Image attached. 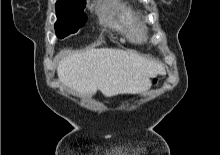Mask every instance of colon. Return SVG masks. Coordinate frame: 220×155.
Masks as SVG:
<instances>
[{
  "instance_id": "obj_1",
  "label": "colon",
  "mask_w": 220,
  "mask_h": 155,
  "mask_svg": "<svg viewBox=\"0 0 220 155\" xmlns=\"http://www.w3.org/2000/svg\"><path fill=\"white\" fill-rule=\"evenodd\" d=\"M156 82H157V80L155 79V80H154V83H156Z\"/></svg>"
}]
</instances>
